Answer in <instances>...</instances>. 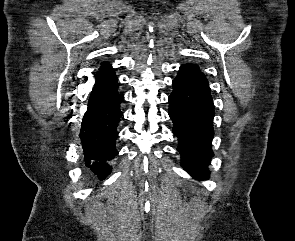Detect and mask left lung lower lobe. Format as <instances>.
Listing matches in <instances>:
<instances>
[{
  "instance_id": "left-lung-lower-lobe-1",
  "label": "left lung lower lobe",
  "mask_w": 295,
  "mask_h": 241,
  "mask_svg": "<svg viewBox=\"0 0 295 241\" xmlns=\"http://www.w3.org/2000/svg\"><path fill=\"white\" fill-rule=\"evenodd\" d=\"M169 116L179 144L184 169L197 179H207V166L213 156L214 104L209 91L201 89L186 77L178 75L172 82Z\"/></svg>"
}]
</instances>
